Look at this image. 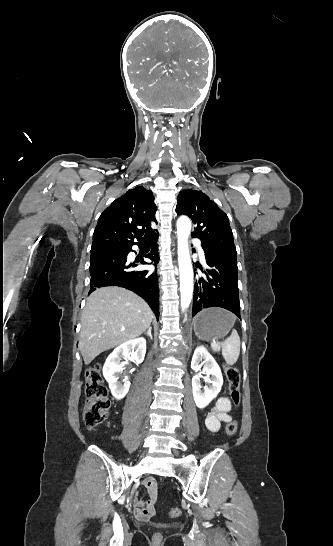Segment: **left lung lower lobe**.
<instances>
[{
	"instance_id": "0a47b994",
	"label": "left lung lower lobe",
	"mask_w": 333,
	"mask_h": 546,
	"mask_svg": "<svg viewBox=\"0 0 333 546\" xmlns=\"http://www.w3.org/2000/svg\"><path fill=\"white\" fill-rule=\"evenodd\" d=\"M201 245L208 265L205 271L207 278H200L195 283L192 315L195 316L204 308L222 307L241 319L236 258L222 256L206 244ZM225 265L228 267V272L222 273L220 270ZM200 269L202 270L201 267Z\"/></svg>"
}]
</instances>
